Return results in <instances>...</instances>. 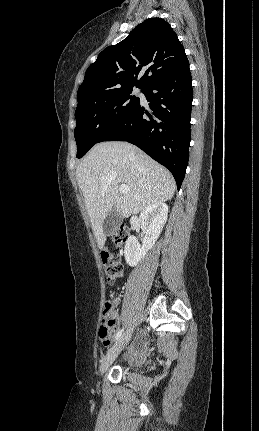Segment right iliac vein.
Masks as SVG:
<instances>
[{
    "instance_id": "1",
    "label": "right iliac vein",
    "mask_w": 259,
    "mask_h": 431,
    "mask_svg": "<svg viewBox=\"0 0 259 431\" xmlns=\"http://www.w3.org/2000/svg\"><path fill=\"white\" fill-rule=\"evenodd\" d=\"M131 336H132V328L127 330V332L124 333L123 336L120 337V339L116 342V344L108 351L100 366L101 375H103L106 372V370L118 357V355L121 353V351L129 342Z\"/></svg>"
}]
</instances>
